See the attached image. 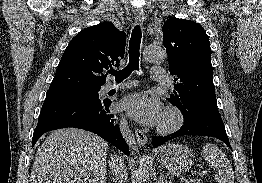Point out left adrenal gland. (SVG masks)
<instances>
[{
    "instance_id": "obj_1",
    "label": "left adrenal gland",
    "mask_w": 262,
    "mask_h": 183,
    "mask_svg": "<svg viewBox=\"0 0 262 183\" xmlns=\"http://www.w3.org/2000/svg\"><path fill=\"white\" fill-rule=\"evenodd\" d=\"M159 183H173V182H172V181H168V180L164 177V172L162 171L161 174H160Z\"/></svg>"
}]
</instances>
